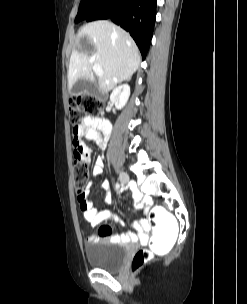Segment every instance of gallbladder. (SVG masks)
I'll list each match as a JSON object with an SVG mask.
<instances>
[{
  "label": "gallbladder",
  "instance_id": "gallbladder-1",
  "mask_svg": "<svg viewBox=\"0 0 247 304\" xmlns=\"http://www.w3.org/2000/svg\"><path fill=\"white\" fill-rule=\"evenodd\" d=\"M92 87L89 85L88 81L84 78L78 79L74 85L72 86L70 93L71 95H79L82 93H86L88 91H91Z\"/></svg>",
  "mask_w": 247,
  "mask_h": 304
}]
</instances>
